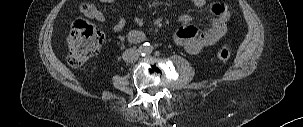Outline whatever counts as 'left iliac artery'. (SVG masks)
I'll list each match as a JSON object with an SVG mask.
<instances>
[{"label":"left iliac artery","instance_id":"1","mask_svg":"<svg viewBox=\"0 0 303 127\" xmlns=\"http://www.w3.org/2000/svg\"><path fill=\"white\" fill-rule=\"evenodd\" d=\"M144 48H145V54H150L154 49L153 46H151L149 43H145Z\"/></svg>","mask_w":303,"mask_h":127}]
</instances>
